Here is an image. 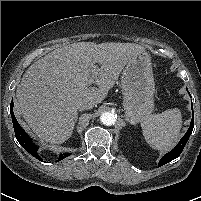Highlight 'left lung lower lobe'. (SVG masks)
<instances>
[{
  "label": "left lung lower lobe",
  "mask_w": 201,
  "mask_h": 201,
  "mask_svg": "<svg viewBox=\"0 0 201 201\" xmlns=\"http://www.w3.org/2000/svg\"><path fill=\"white\" fill-rule=\"evenodd\" d=\"M189 95H190V93H189ZM191 106H192V111H193L192 103H191ZM193 127H194V112H193V117H192L188 131L182 137V139L179 141L177 146L172 151H170L164 157L161 158V160L159 161V166H163V165L171 162L172 160L176 159L177 157H179V155L181 154L182 150L184 149V147H185V145H186V143H187V141H188V139L192 133Z\"/></svg>",
  "instance_id": "0a47b994"
}]
</instances>
